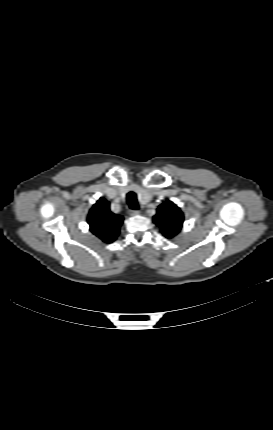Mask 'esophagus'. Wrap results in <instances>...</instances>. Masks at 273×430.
<instances>
[{"instance_id":"34e87169","label":"esophagus","mask_w":273,"mask_h":430,"mask_svg":"<svg viewBox=\"0 0 273 430\" xmlns=\"http://www.w3.org/2000/svg\"><path fill=\"white\" fill-rule=\"evenodd\" d=\"M128 213L131 216H136L139 215L141 212L139 210H129Z\"/></svg>"}]
</instances>
